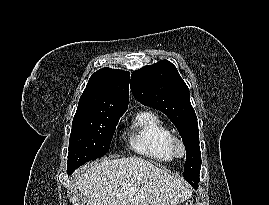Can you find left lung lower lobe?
I'll list each match as a JSON object with an SVG mask.
<instances>
[{
  "instance_id": "1",
  "label": "left lung lower lobe",
  "mask_w": 269,
  "mask_h": 205,
  "mask_svg": "<svg viewBox=\"0 0 269 205\" xmlns=\"http://www.w3.org/2000/svg\"><path fill=\"white\" fill-rule=\"evenodd\" d=\"M199 182V181H198ZM198 184V183H197ZM194 188L197 189L198 188V185H194Z\"/></svg>"
}]
</instances>
